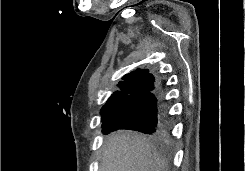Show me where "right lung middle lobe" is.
Here are the masks:
<instances>
[{"label": "right lung middle lobe", "instance_id": "1", "mask_svg": "<svg viewBox=\"0 0 245 171\" xmlns=\"http://www.w3.org/2000/svg\"><path fill=\"white\" fill-rule=\"evenodd\" d=\"M116 104H105L103 106V108L101 109V116H102V121L105 119V117L107 116V114L109 113V111L115 107Z\"/></svg>", "mask_w": 245, "mask_h": 171}]
</instances>
